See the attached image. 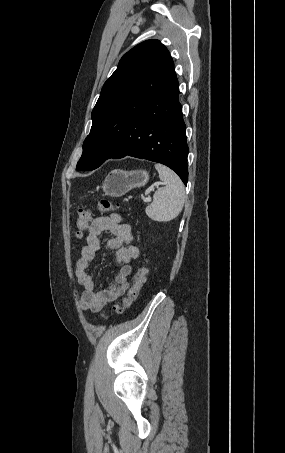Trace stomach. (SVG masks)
I'll list each match as a JSON object with an SVG mask.
<instances>
[{
  "label": "stomach",
  "mask_w": 285,
  "mask_h": 453,
  "mask_svg": "<svg viewBox=\"0 0 285 453\" xmlns=\"http://www.w3.org/2000/svg\"><path fill=\"white\" fill-rule=\"evenodd\" d=\"M148 180L149 174L145 170L115 169L106 176L102 188L107 196L121 197L134 188L145 186Z\"/></svg>",
  "instance_id": "1"
}]
</instances>
